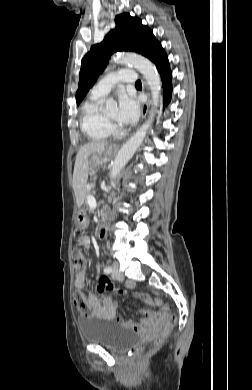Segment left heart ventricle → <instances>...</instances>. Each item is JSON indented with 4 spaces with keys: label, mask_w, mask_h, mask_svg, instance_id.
I'll use <instances>...</instances> for the list:
<instances>
[{
    "label": "left heart ventricle",
    "mask_w": 252,
    "mask_h": 390,
    "mask_svg": "<svg viewBox=\"0 0 252 390\" xmlns=\"http://www.w3.org/2000/svg\"><path fill=\"white\" fill-rule=\"evenodd\" d=\"M107 117H109L110 119L112 120H116V116H117V109L116 107L112 108L107 114H106Z\"/></svg>",
    "instance_id": "obj_1"
}]
</instances>
